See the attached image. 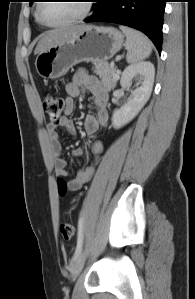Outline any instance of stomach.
<instances>
[{"mask_svg":"<svg viewBox=\"0 0 195 299\" xmlns=\"http://www.w3.org/2000/svg\"><path fill=\"white\" fill-rule=\"evenodd\" d=\"M123 43L124 35L114 27L85 26L75 36L38 54L35 67L41 77L57 79L80 62L109 60Z\"/></svg>","mask_w":195,"mask_h":299,"instance_id":"0dacf381","label":"stomach"}]
</instances>
